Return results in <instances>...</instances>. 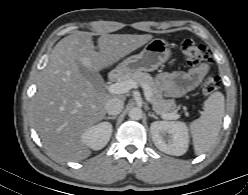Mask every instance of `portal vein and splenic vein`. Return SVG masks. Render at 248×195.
<instances>
[{
    "instance_id": "portal-vein-and-splenic-vein-1",
    "label": "portal vein and splenic vein",
    "mask_w": 248,
    "mask_h": 195,
    "mask_svg": "<svg viewBox=\"0 0 248 195\" xmlns=\"http://www.w3.org/2000/svg\"><path fill=\"white\" fill-rule=\"evenodd\" d=\"M132 88H137V84L133 80H127L123 82H117L114 84H111L107 87L108 92L112 94H124L129 92ZM144 91V96L148 102H151V90L147 85L142 86ZM179 114H170V115H163L162 117L164 119H178Z\"/></svg>"
}]
</instances>
